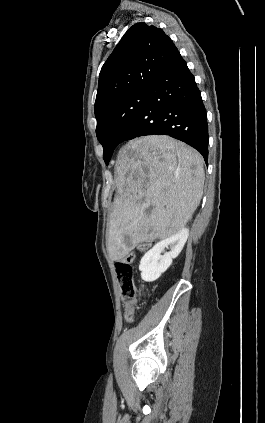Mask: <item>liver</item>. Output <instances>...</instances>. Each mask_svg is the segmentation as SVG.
Returning a JSON list of instances; mask_svg holds the SVG:
<instances>
[{
  "label": "liver",
  "mask_w": 265,
  "mask_h": 423,
  "mask_svg": "<svg viewBox=\"0 0 265 423\" xmlns=\"http://www.w3.org/2000/svg\"><path fill=\"white\" fill-rule=\"evenodd\" d=\"M203 164L199 152L166 135L136 138L120 149L106 242L111 260L185 227L202 198Z\"/></svg>",
  "instance_id": "1"
}]
</instances>
